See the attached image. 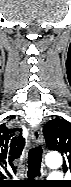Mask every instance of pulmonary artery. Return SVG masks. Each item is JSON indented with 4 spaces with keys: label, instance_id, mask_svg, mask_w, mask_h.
I'll return each instance as SVG.
<instances>
[{
    "label": "pulmonary artery",
    "instance_id": "1",
    "mask_svg": "<svg viewBox=\"0 0 71 187\" xmlns=\"http://www.w3.org/2000/svg\"><path fill=\"white\" fill-rule=\"evenodd\" d=\"M60 178H61V175H60V173H57V172L52 173V174H50V176H49V179H50V180L60 179Z\"/></svg>",
    "mask_w": 71,
    "mask_h": 187
}]
</instances>
